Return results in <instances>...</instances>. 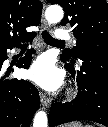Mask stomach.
Masks as SVG:
<instances>
[{
	"instance_id": "stomach-1",
	"label": "stomach",
	"mask_w": 108,
	"mask_h": 127,
	"mask_svg": "<svg viewBox=\"0 0 108 127\" xmlns=\"http://www.w3.org/2000/svg\"><path fill=\"white\" fill-rule=\"evenodd\" d=\"M62 127H84V126L81 122H71V123L63 125Z\"/></svg>"
}]
</instances>
